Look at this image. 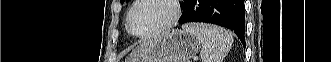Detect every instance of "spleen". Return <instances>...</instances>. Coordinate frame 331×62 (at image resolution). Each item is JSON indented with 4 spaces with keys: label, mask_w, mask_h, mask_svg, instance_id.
Masks as SVG:
<instances>
[{
    "label": "spleen",
    "mask_w": 331,
    "mask_h": 62,
    "mask_svg": "<svg viewBox=\"0 0 331 62\" xmlns=\"http://www.w3.org/2000/svg\"><path fill=\"white\" fill-rule=\"evenodd\" d=\"M182 28L201 42L200 56L202 62H222L233 43L231 32L218 26L190 23L183 25Z\"/></svg>",
    "instance_id": "1"
}]
</instances>
